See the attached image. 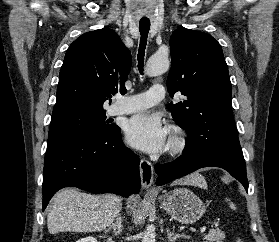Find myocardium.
I'll return each mask as SVG.
<instances>
[{
    "mask_svg": "<svg viewBox=\"0 0 279 242\" xmlns=\"http://www.w3.org/2000/svg\"><path fill=\"white\" fill-rule=\"evenodd\" d=\"M171 136L169 141V150L172 155L182 154L188 145V135L184 128L173 125L170 128Z\"/></svg>",
    "mask_w": 279,
    "mask_h": 242,
    "instance_id": "obj_1",
    "label": "myocardium"
}]
</instances>
